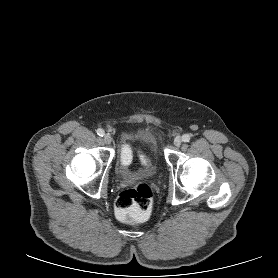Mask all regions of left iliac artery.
<instances>
[{
  "label": "left iliac artery",
  "mask_w": 278,
  "mask_h": 278,
  "mask_svg": "<svg viewBox=\"0 0 278 278\" xmlns=\"http://www.w3.org/2000/svg\"><path fill=\"white\" fill-rule=\"evenodd\" d=\"M191 136L189 134H184L182 136V141L184 142H189L190 141Z\"/></svg>",
  "instance_id": "44dca946"
}]
</instances>
